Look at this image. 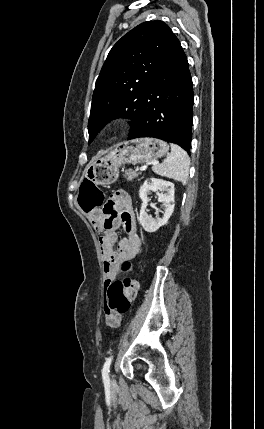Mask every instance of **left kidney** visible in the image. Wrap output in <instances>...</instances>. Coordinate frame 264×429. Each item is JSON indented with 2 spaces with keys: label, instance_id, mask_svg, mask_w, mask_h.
Segmentation results:
<instances>
[{
  "label": "left kidney",
  "instance_id": "1",
  "mask_svg": "<svg viewBox=\"0 0 264 429\" xmlns=\"http://www.w3.org/2000/svg\"><path fill=\"white\" fill-rule=\"evenodd\" d=\"M154 191L158 195V201L165 206V212L160 218H153L146 212L148 205V194ZM174 185L171 182L149 178L146 179L139 190V196L142 200L139 222L147 232H156L160 227L164 226L174 211Z\"/></svg>",
  "mask_w": 264,
  "mask_h": 429
}]
</instances>
